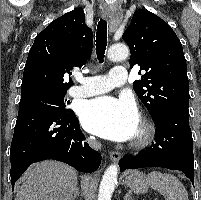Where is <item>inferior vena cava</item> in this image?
<instances>
[{"mask_svg": "<svg viewBox=\"0 0 201 200\" xmlns=\"http://www.w3.org/2000/svg\"><path fill=\"white\" fill-rule=\"evenodd\" d=\"M88 141H89V144H90V146H91L92 148H94V149H96V150L101 149V144H100V142H98L95 138L90 137V138L88 139Z\"/></svg>", "mask_w": 201, "mask_h": 200, "instance_id": "inferior-vena-cava-1", "label": "inferior vena cava"}]
</instances>
